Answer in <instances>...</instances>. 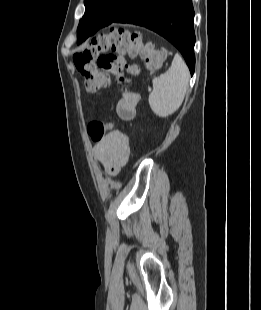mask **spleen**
<instances>
[{
    "instance_id": "3e777b00",
    "label": "spleen",
    "mask_w": 261,
    "mask_h": 310,
    "mask_svg": "<svg viewBox=\"0 0 261 310\" xmlns=\"http://www.w3.org/2000/svg\"><path fill=\"white\" fill-rule=\"evenodd\" d=\"M190 73L179 54L173 58L169 70L152 80L153 91L149 105L159 117L172 115L181 106L189 84Z\"/></svg>"
}]
</instances>
